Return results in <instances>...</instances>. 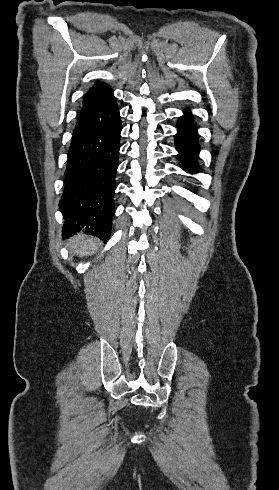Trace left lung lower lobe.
Wrapping results in <instances>:
<instances>
[{"instance_id": "left-lung-lower-lobe-1", "label": "left lung lower lobe", "mask_w": 279, "mask_h": 490, "mask_svg": "<svg viewBox=\"0 0 279 490\" xmlns=\"http://www.w3.org/2000/svg\"><path fill=\"white\" fill-rule=\"evenodd\" d=\"M185 113L178 121V133L175 135V145L179 151L177 157L183 164V169L188 173H193L197 172L199 168L197 159L200 146L193 117L189 111H185Z\"/></svg>"}]
</instances>
